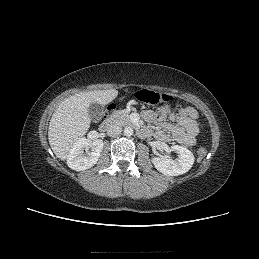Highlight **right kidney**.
<instances>
[{
  "instance_id": "obj_1",
  "label": "right kidney",
  "mask_w": 259,
  "mask_h": 259,
  "mask_svg": "<svg viewBox=\"0 0 259 259\" xmlns=\"http://www.w3.org/2000/svg\"><path fill=\"white\" fill-rule=\"evenodd\" d=\"M84 149L86 154L84 155ZM90 149V150H89ZM103 149V141L80 138L69 150L67 165L75 171H83L94 166Z\"/></svg>"
}]
</instances>
